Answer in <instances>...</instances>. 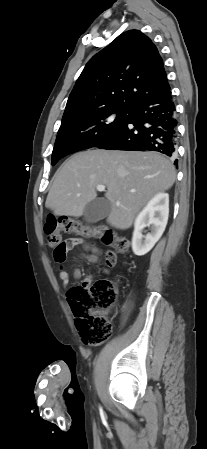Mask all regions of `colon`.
<instances>
[{"instance_id": "colon-1", "label": "colon", "mask_w": 207, "mask_h": 449, "mask_svg": "<svg viewBox=\"0 0 207 449\" xmlns=\"http://www.w3.org/2000/svg\"><path fill=\"white\" fill-rule=\"evenodd\" d=\"M75 233L83 238L100 239L119 253H127L130 248L126 237L115 234L111 229L89 226L71 219H53L44 224V234L54 248V260L64 264L68 251L73 248L72 239L62 241L60 233ZM109 265L114 263L112 256L106 258ZM116 286L109 280L84 281L68 290L67 299L76 320L77 329L88 345H96L111 335L110 316L116 302Z\"/></svg>"}]
</instances>
